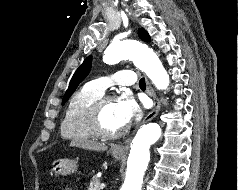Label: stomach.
<instances>
[{"label":"stomach","instance_id":"stomach-1","mask_svg":"<svg viewBox=\"0 0 238 190\" xmlns=\"http://www.w3.org/2000/svg\"><path fill=\"white\" fill-rule=\"evenodd\" d=\"M111 153L115 159H121L123 157V152L111 150ZM77 169L76 162L69 159H57L52 163V171L55 175H69L74 173Z\"/></svg>","mask_w":238,"mask_h":190}]
</instances>
